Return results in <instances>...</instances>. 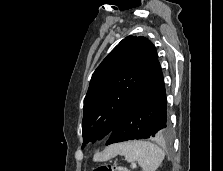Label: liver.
<instances>
[{
    "mask_svg": "<svg viewBox=\"0 0 223 171\" xmlns=\"http://www.w3.org/2000/svg\"><path fill=\"white\" fill-rule=\"evenodd\" d=\"M122 144H115L107 147L102 153L96 154L93 158L94 161H106L115 157L121 150Z\"/></svg>",
    "mask_w": 223,
    "mask_h": 171,
    "instance_id": "1",
    "label": "liver"
}]
</instances>
